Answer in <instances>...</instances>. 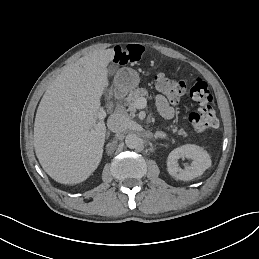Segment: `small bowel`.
Listing matches in <instances>:
<instances>
[{
  "label": "small bowel",
  "mask_w": 259,
  "mask_h": 259,
  "mask_svg": "<svg viewBox=\"0 0 259 259\" xmlns=\"http://www.w3.org/2000/svg\"><path fill=\"white\" fill-rule=\"evenodd\" d=\"M143 52L144 48L139 44L116 46L113 49V60L119 64L134 63L140 60ZM156 104L164 118L172 119L175 116L174 108L164 96L158 95L156 97Z\"/></svg>",
  "instance_id": "c3829d8e"
}]
</instances>
